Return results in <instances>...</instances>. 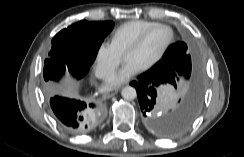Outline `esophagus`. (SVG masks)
<instances>
[{
  "label": "esophagus",
  "mask_w": 244,
  "mask_h": 157,
  "mask_svg": "<svg viewBox=\"0 0 244 157\" xmlns=\"http://www.w3.org/2000/svg\"><path fill=\"white\" fill-rule=\"evenodd\" d=\"M118 92V89H115V90H110L108 92L105 93V97L106 98H111L113 97L115 94H117Z\"/></svg>",
  "instance_id": "obj_1"
}]
</instances>
